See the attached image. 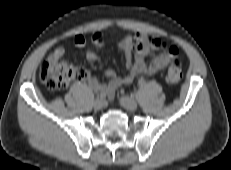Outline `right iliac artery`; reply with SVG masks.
I'll return each mask as SVG.
<instances>
[{
	"instance_id": "right-iliac-artery-1",
	"label": "right iliac artery",
	"mask_w": 231,
	"mask_h": 170,
	"mask_svg": "<svg viewBox=\"0 0 231 170\" xmlns=\"http://www.w3.org/2000/svg\"><path fill=\"white\" fill-rule=\"evenodd\" d=\"M105 96H106L105 93L100 92V93H98L97 98L104 99Z\"/></svg>"
}]
</instances>
